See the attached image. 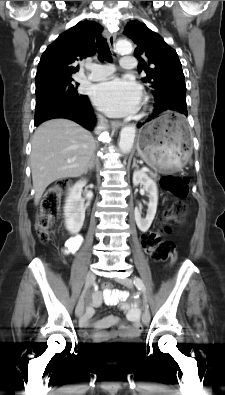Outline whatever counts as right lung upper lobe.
<instances>
[{
	"label": "right lung upper lobe",
	"instance_id": "obj_1",
	"mask_svg": "<svg viewBox=\"0 0 225 395\" xmlns=\"http://www.w3.org/2000/svg\"><path fill=\"white\" fill-rule=\"evenodd\" d=\"M101 30L98 23L86 20L62 33L42 54L36 86L72 79L79 70L77 62L95 54V35Z\"/></svg>",
	"mask_w": 225,
	"mask_h": 395
}]
</instances>
